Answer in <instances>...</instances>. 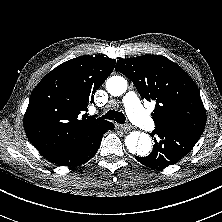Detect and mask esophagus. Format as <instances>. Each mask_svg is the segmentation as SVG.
Here are the masks:
<instances>
[{"label":"esophagus","instance_id":"34e87169","mask_svg":"<svg viewBox=\"0 0 222 222\" xmlns=\"http://www.w3.org/2000/svg\"><path fill=\"white\" fill-rule=\"evenodd\" d=\"M116 127L122 131H129L131 129V127L129 125H121V124H117Z\"/></svg>","mask_w":222,"mask_h":222}]
</instances>
